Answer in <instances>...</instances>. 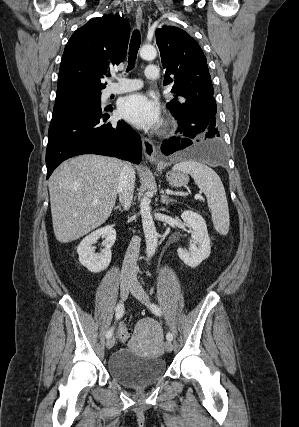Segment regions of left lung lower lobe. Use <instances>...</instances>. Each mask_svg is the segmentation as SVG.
Returning a JSON list of instances; mask_svg holds the SVG:
<instances>
[{
    "label": "left lung lower lobe",
    "mask_w": 299,
    "mask_h": 427,
    "mask_svg": "<svg viewBox=\"0 0 299 427\" xmlns=\"http://www.w3.org/2000/svg\"><path fill=\"white\" fill-rule=\"evenodd\" d=\"M174 117L179 122L178 131L186 138L172 137L165 141L161 147L164 155L181 151L183 156L218 163L225 161L221 147V133L214 127L210 107L183 105L179 115Z\"/></svg>",
    "instance_id": "1"
}]
</instances>
